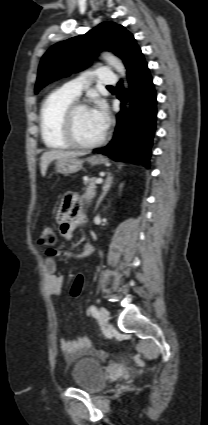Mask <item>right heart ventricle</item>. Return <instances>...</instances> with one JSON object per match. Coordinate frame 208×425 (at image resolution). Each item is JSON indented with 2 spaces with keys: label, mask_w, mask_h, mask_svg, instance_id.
<instances>
[{
  "label": "right heart ventricle",
  "mask_w": 208,
  "mask_h": 425,
  "mask_svg": "<svg viewBox=\"0 0 208 425\" xmlns=\"http://www.w3.org/2000/svg\"><path fill=\"white\" fill-rule=\"evenodd\" d=\"M61 90L51 93L43 102L40 110V133L46 147L53 150L70 149L72 146L63 135V115L74 103Z\"/></svg>",
  "instance_id": "e07e8e85"
}]
</instances>
